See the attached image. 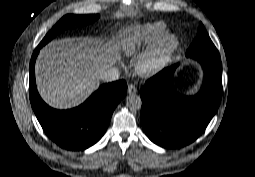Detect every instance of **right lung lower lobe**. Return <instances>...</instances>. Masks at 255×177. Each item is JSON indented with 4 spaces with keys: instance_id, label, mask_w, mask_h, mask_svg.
<instances>
[{
    "instance_id": "98d812e1",
    "label": "right lung lower lobe",
    "mask_w": 255,
    "mask_h": 177,
    "mask_svg": "<svg viewBox=\"0 0 255 177\" xmlns=\"http://www.w3.org/2000/svg\"><path fill=\"white\" fill-rule=\"evenodd\" d=\"M37 47L30 61V101L45 133L59 146L69 150L86 149L104 135L112 113L127 92L124 80L104 84L82 105L70 110H56L41 99L35 83Z\"/></svg>"
}]
</instances>
